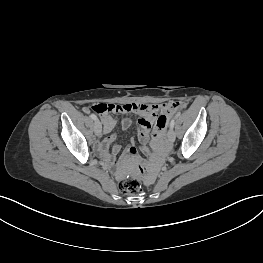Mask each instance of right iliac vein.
<instances>
[{
	"mask_svg": "<svg viewBox=\"0 0 263 263\" xmlns=\"http://www.w3.org/2000/svg\"><path fill=\"white\" fill-rule=\"evenodd\" d=\"M102 131V125L99 120H96L94 123V132L97 136H100Z\"/></svg>",
	"mask_w": 263,
	"mask_h": 263,
	"instance_id": "right-iliac-vein-1",
	"label": "right iliac vein"
}]
</instances>
